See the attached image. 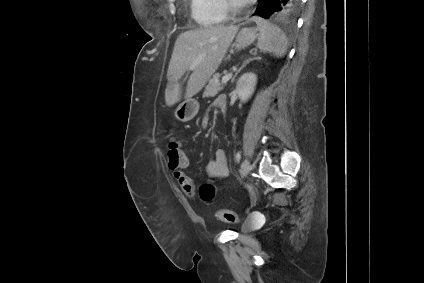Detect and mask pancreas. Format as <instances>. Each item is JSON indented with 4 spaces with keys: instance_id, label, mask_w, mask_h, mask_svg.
<instances>
[{
    "instance_id": "obj_1",
    "label": "pancreas",
    "mask_w": 424,
    "mask_h": 283,
    "mask_svg": "<svg viewBox=\"0 0 424 283\" xmlns=\"http://www.w3.org/2000/svg\"><path fill=\"white\" fill-rule=\"evenodd\" d=\"M222 89H223V87L221 86V84L219 82V76L215 75L212 79L209 80V83L206 86L205 91H204V96L207 97V98L214 97Z\"/></svg>"
}]
</instances>
